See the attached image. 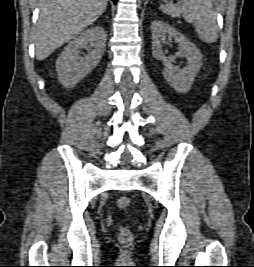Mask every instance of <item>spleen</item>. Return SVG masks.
<instances>
[{
  "mask_svg": "<svg viewBox=\"0 0 254 267\" xmlns=\"http://www.w3.org/2000/svg\"><path fill=\"white\" fill-rule=\"evenodd\" d=\"M180 5L160 4L163 13L173 17H183L193 24L199 38L206 43L218 39L216 13L211 0H179Z\"/></svg>",
  "mask_w": 254,
  "mask_h": 267,
  "instance_id": "spleen-1",
  "label": "spleen"
}]
</instances>
